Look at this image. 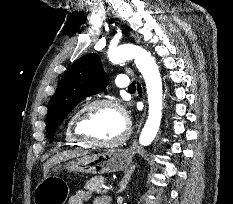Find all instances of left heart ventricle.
<instances>
[{
	"label": "left heart ventricle",
	"instance_id": "b2bd125f",
	"mask_svg": "<svg viewBox=\"0 0 233 204\" xmlns=\"http://www.w3.org/2000/svg\"><path fill=\"white\" fill-rule=\"evenodd\" d=\"M125 130L123 116L114 108L98 107L89 111L81 121L80 131L96 141H111Z\"/></svg>",
	"mask_w": 233,
	"mask_h": 204
}]
</instances>
